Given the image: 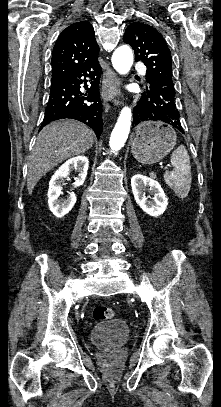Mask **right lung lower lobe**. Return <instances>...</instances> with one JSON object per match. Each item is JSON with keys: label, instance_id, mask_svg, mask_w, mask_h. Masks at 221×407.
<instances>
[{"label": "right lung lower lobe", "instance_id": "right-lung-lower-lobe-1", "mask_svg": "<svg viewBox=\"0 0 221 407\" xmlns=\"http://www.w3.org/2000/svg\"><path fill=\"white\" fill-rule=\"evenodd\" d=\"M102 68L98 59L51 82V93L40 130L62 118L81 121L91 127L99 138L103 131L99 80ZM84 87L86 92L80 89Z\"/></svg>", "mask_w": 221, "mask_h": 407}]
</instances>
